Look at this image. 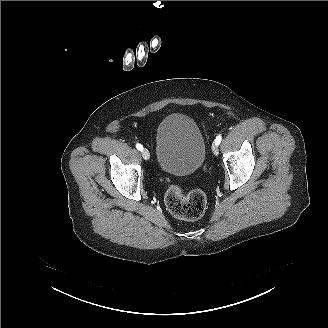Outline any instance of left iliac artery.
Masks as SVG:
<instances>
[{
	"label": "left iliac artery",
	"mask_w": 328,
	"mask_h": 328,
	"mask_svg": "<svg viewBox=\"0 0 328 328\" xmlns=\"http://www.w3.org/2000/svg\"><path fill=\"white\" fill-rule=\"evenodd\" d=\"M221 140H222L221 135H218V136L216 137V139H215V144L219 145L220 142H221Z\"/></svg>",
	"instance_id": "44dca946"
}]
</instances>
